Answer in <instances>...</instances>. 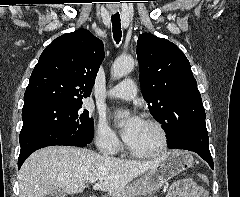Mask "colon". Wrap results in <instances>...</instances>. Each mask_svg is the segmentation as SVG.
<instances>
[{
    "instance_id": "1",
    "label": "colon",
    "mask_w": 240,
    "mask_h": 197,
    "mask_svg": "<svg viewBox=\"0 0 240 197\" xmlns=\"http://www.w3.org/2000/svg\"><path fill=\"white\" fill-rule=\"evenodd\" d=\"M198 178H199L202 182H204V183H207V182H208L207 176H206L205 174H203V173L198 174Z\"/></svg>"
}]
</instances>
